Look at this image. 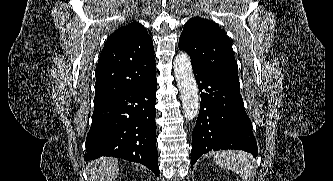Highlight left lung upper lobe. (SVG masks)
<instances>
[{"label":"left lung upper lobe","mask_w":333,"mask_h":181,"mask_svg":"<svg viewBox=\"0 0 333 181\" xmlns=\"http://www.w3.org/2000/svg\"><path fill=\"white\" fill-rule=\"evenodd\" d=\"M192 66L240 87L238 66L226 34L212 21L194 17L187 21L179 39Z\"/></svg>","instance_id":"5c2ea615"}]
</instances>
